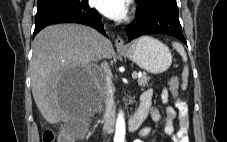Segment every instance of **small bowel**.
<instances>
[{
	"instance_id": "1",
	"label": "small bowel",
	"mask_w": 227,
	"mask_h": 142,
	"mask_svg": "<svg viewBox=\"0 0 227 142\" xmlns=\"http://www.w3.org/2000/svg\"><path fill=\"white\" fill-rule=\"evenodd\" d=\"M153 97V91L151 89L146 90L141 95V103L148 106L150 115L155 122H160L164 124V132L166 135L171 137L172 142H189L188 129H189V117L187 105L182 100H177L175 103V108L178 111L179 127L176 131L174 128V120L176 118V110L167 106L165 113L161 114L157 108L151 106V100ZM162 100L164 103L168 102V91L165 89L162 92ZM151 135L150 128H144L140 132V139L134 142H145Z\"/></svg>"
}]
</instances>
